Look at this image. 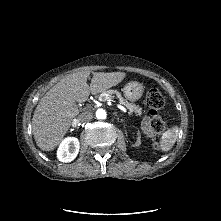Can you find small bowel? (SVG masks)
Wrapping results in <instances>:
<instances>
[{"label":"small bowel","mask_w":221,"mask_h":221,"mask_svg":"<svg viewBox=\"0 0 221 221\" xmlns=\"http://www.w3.org/2000/svg\"><path fill=\"white\" fill-rule=\"evenodd\" d=\"M149 122H150L149 117L145 116L143 118V128L147 132V134L150 136L151 131H150V128H149Z\"/></svg>","instance_id":"small-bowel-1"}]
</instances>
